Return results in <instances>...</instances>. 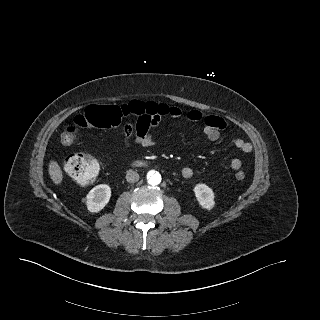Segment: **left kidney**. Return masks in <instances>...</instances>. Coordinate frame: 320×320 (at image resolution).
Masks as SVG:
<instances>
[{
  "mask_svg": "<svg viewBox=\"0 0 320 320\" xmlns=\"http://www.w3.org/2000/svg\"><path fill=\"white\" fill-rule=\"evenodd\" d=\"M194 193L199 205L207 210L214 207V192L205 184H197L194 187Z\"/></svg>",
  "mask_w": 320,
  "mask_h": 320,
  "instance_id": "5707ae66",
  "label": "left kidney"
}]
</instances>
